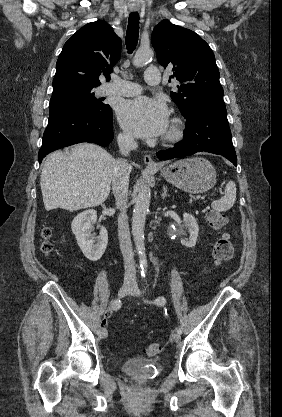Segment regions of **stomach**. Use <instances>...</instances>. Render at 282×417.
I'll use <instances>...</instances> for the list:
<instances>
[{
    "label": "stomach",
    "mask_w": 282,
    "mask_h": 417,
    "mask_svg": "<svg viewBox=\"0 0 282 417\" xmlns=\"http://www.w3.org/2000/svg\"><path fill=\"white\" fill-rule=\"evenodd\" d=\"M161 174L185 192L197 194V192H205L216 184L217 174L214 166L209 160L202 156H193V158H182L171 162L168 166H160Z\"/></svg>",
    "instance_id": "stomach-1"
}]
</instances>
